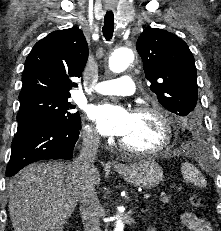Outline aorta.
Listing matches in <instances>:
<instances>
[{
    "label": "aorta",
    "instance_id": "1",
    "mask_svg": "<svg viewBox=\"0 0 221 231\" xmlns=\"http://www.w3.org/2000/svg\"><path fill=\"white\" fill-rule=\"evenodd\" d=\"M133 60L134 53L131 49L118 48L110 55L108 65L112 72L121 73L127 69ZM113 231H124V223L119 215L116 216V224Z\"/></svg>",
    "mask_w": 221,
    "mask_h": 231
}]
</instances>
